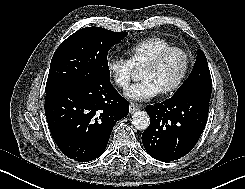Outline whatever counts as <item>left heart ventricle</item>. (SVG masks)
I'll use <instances>...</instances> for the list:
<instances>
[{
    "label": "left heart ventricle",
    "instance_id": "b2bd125f",
    "mask_svg": "<svg viewBox=\"0 0 245 189\" xmlns=\"http://www.w3.org/2000/svg\"><path fill=\"white\" fill-rule=\"evenodd\" d=\"M185 60L179 53L170 54L156 69H142L141 80H150L160 91L174 84L181 76Z\"/></svg>",
    "mask_w": 245,
    "mask_h": 189
}]
</instances>
